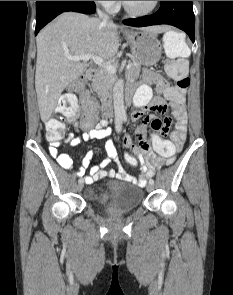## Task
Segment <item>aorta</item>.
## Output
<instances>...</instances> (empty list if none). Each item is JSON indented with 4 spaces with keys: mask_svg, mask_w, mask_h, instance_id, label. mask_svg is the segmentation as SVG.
<instances>
[{
    "mask_svg": "<svg viewBox=\"0 0 233 295\" xmlns=\"http://www.w3.org/2000/svg\"><path fill=\"white\" fill-rule=\"evenodd\" d=\"M113 102L115 113L120 116H125V105H124V82L119 80L114 88Z\"/></svg>",
    "mask_w": 233,
    "mask_h": 295,
    "instance_id": "762f6f07",
    "label": "aorta"
}]
</instances>
